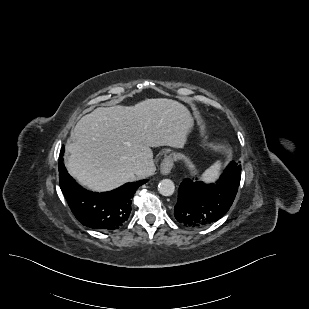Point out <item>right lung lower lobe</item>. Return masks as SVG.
Wrapping results in <instances>:
<instances>
[{"instance_id": "98d812e1", "label": "right lung lower lobe", "mask_w": 309, "mask_h": 309, "mask_svg": "<svg viewBox=\"0 0 309 309\" xmlns=\"http://www.w3.org/2000/svg\"><path fill=\"white\" fill-rule=\"evenodd\" d=\"M63 151L64 147L61 148L58 164L60 187L77 220L93 229H118L130 215L135 190L147 180L126 183L110 192L88 191L68 174L63 163Z\"/></svg>"}]
</instances>
